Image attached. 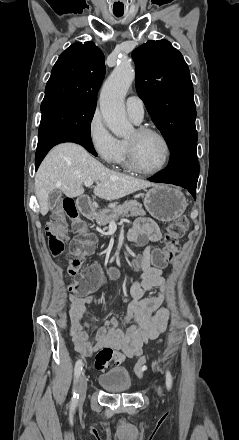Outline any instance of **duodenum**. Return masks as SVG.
I'll list each match as a JSON object with an SVG mask.
<instances>
[{"label": "duodenum", "instance_id": "1", "mask_svg": "<svg viewBox=\"0 0 239 440\" xmlns=\"http://www.w3.org/2000/svg\"><path fill=\"white\" fill-rule=\"evenodd\" d=\"M77 208L82 215H89L92 212L91 200L88 196H81L77 199Z\"/></svg>", "mask_w": 239, "mask_h": 440}]
</instances>
